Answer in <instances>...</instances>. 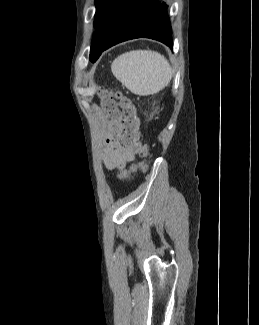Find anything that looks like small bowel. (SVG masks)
<instances>
[{
    "label": "small bowel",
    "mask_w": 259,
    "mask_h": 325,
    "mask_svg": "<svg viewBox=\"0 0 259 325\" xmlns=\"http://www.w3.org/2000/svg\"><path fill=\"white\" fill-rule=\"evenodd\" d=\"M120 129H112L108 141L109 148L105 155V166L108 169L123 167L126 162L134 159L136 153L126 147L120 140Z\"/></svg>",
    "instance_id": "c3829d8e"
}]
</instances>
